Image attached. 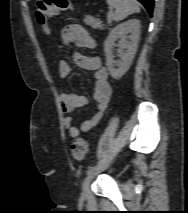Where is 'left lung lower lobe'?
<instances>
[{
  "instance_id": "obj_1",
  "label": "left lung lower lobe",
  "mask_w": 188,
  "mask_h": 213,
  "mask_svg": "<svg viewBox=\"0 0 188 213\" xmlns=\"http://www.w3.org/2000/svg\"><path fill=\"white\" fill-rule=\"evenodd\" d=\"M138 1L141 2L145 6L147 11L151 15L152 14V10H153L154 0H138Z\"/></svg>"
}]
</instances>
